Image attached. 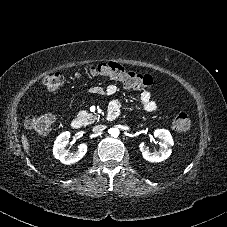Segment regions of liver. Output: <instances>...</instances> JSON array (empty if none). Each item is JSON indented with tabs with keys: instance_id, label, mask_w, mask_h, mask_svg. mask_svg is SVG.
Segmentation results:
<instances>
[{
	"instance_id": "1",
	"label": "liver",
	"mask_w": 227,
	"mask_h": 227,
	"mask_svg": "<svg viewBox=\"0 0 227 227\" xmlns=\"http://www.w3.org/2000/svg\"><path fill=\"white\" fill-rule=\"evenodd\" d=\"M22 145L24 150L29 153V143H28V138L23 134L21 137Z\"/></svg>"
}]
</instances>
